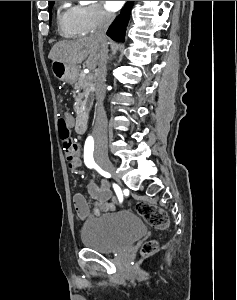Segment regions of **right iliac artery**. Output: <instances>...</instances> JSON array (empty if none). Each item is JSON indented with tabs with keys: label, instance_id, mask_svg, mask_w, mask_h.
Returning a JSON list of instances; mask_svg holds the SVG:
<instances>
[{
	"label": "right iliac artery",
	"instance_id": "right-iliac-artery-1",
	"mask_svg": "<svg viewBox=\"0 0 237 300\" xmlns=\"http://www.w3.org/2000/svg\"><path fill=\"white\" fill-rule=\"evenodd\" d=\"M93 151H94V140L92 136H89L86 139L85 146H84V162L86 166L90 169L97 168V164L95 163L93 159ZM114 190L119 198L120 201H122V198L120 197V193L118 190V186L116 184H113Z\"/></svg>",
	"mask_w": 237,
	"mask_h": 300
}]
</instances>
